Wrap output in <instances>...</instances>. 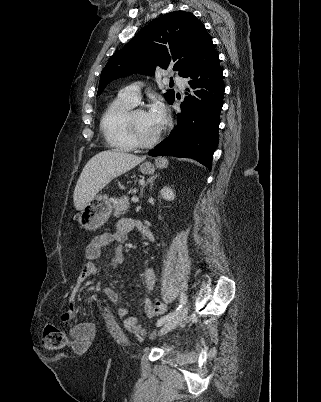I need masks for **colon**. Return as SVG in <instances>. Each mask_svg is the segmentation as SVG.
I'll return each mask as SVG.
<instances>
[{
  "label": "colon",
  "mask_w": 321,
  "mask_h": 402,
  "mask_svg": "<svg viewBox=\"0 0 321 402\" xmlns=\"http://www.w3.org/2000/svg\"><path fill=\"white\" fill-rule=\"evenodd\" d=\"M167 304L156 301L154 311L156 314H164L167 311ZM66 336L64 332L54 324H47L42 332V345L48 351H57L65 346Z\"/></svg>",
  "instance_id": "colon-1"
}]
</instances>
